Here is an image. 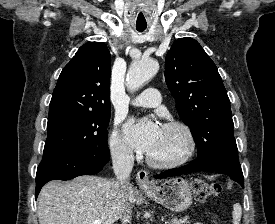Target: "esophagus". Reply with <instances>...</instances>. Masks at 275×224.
<instances>
[{
  "label": "esophagus",
  "mask_w": 275,
  "mask_h": 224,
  "mask_svg": "<svg viewBox=\"0 0 275 224\" xmlns=\"http://www.w3.org/2000/svg\"><path fill=\"white\" fill-rule=\"evenodd\" d=\"M136 180L138 185L141 188H150L151 187V182L149 180V175L146 170H140L137 172L136 175Z\"/></svg>",
  "instance_id": "1"
}]
</instances>
